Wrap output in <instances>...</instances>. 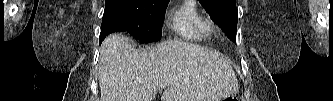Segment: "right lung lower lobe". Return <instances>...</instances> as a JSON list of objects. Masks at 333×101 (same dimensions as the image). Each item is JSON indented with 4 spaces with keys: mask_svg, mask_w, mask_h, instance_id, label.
<instances>
[{
    "mask_svg": "<svg viewBox=\"0 0 333 101\" xmlns=\"http://www.w3.org/2000/svg\"><path fill=\"white\" fill-rule=\"evenodd\" d=\"M119 22L114 17L107 15L104 13L102 19V27L100 33V41L104 40V38L116 30L119 27Z\"/></svg>",
    "mask_w": 333,
    "mask_h": 101,
    "instance_id": "1",
    "label": "right lung lower lobe"
}]
</instances>
